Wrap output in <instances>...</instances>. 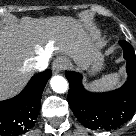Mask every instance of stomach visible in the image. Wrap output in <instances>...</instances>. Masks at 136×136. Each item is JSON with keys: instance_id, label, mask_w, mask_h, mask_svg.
Listing matches in <instances>:
<instances>
[{"instance_id": "1", "label": "stomach", "mask_w": 136, "mask_h": 136, "mask_svg": "<svg viewBox=\"0 0 136 136\" xmlns=\"http://www.w3.org/2000/svg\"><path fill=\"white\" fill-rule=\"evenodd\" d=\"M103 67V56L102 53H98L95 58L90 62V64L86 67V69L91 73L94 74L101 70Z\"/></svg>"}]
</instances>
